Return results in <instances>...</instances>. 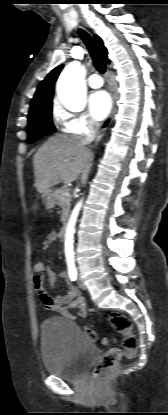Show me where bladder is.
Masks as SVG:
<instances>
[{"label": "bladder", "mask_w": 168, "mask_h": 415, "mask_svg": "<svg viewBox=\"0 0 168 415\" xmlns=\"http://www.w3.org/2000/svg\"><path fill=\"white\" fill-rule=\"evenodd\" d=\"M41 352L45 370L65 380L79 379L98 355L80 327L62 317L42 322Z\"/></svg>", "instance_id": "31cf9c89"}]
</instances>
